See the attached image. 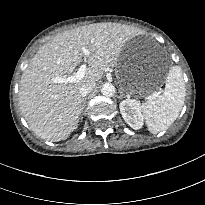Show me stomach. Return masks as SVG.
I'll return each mask as SVG.
<instances>
[{
    "mask_svg": "<svg viewBox=\"0 0 205 205\" xmlns=\"http://www.w3.org/2000/svg\"><path fill=\"white\" fill-rule=\"evenodd\" d=\"M139 58L134 46L126 45L119 56L117 64V77L122 89L128 93L151 94L157 87L152 83L141 80L138 73Z\"/></svg>",
    "mask_w": 205,
    "mask_h": 205,
    "instance_id": "0dacf381",
    "label": "stomach"
}]
</instances>
